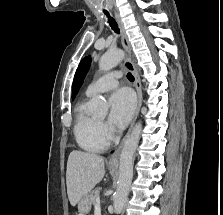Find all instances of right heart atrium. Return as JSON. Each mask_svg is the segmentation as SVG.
<instances>
[{
  "instance_id": "d8ad5b80",
  "label": "right heart atrium",
  "mask_w": 223,
  "mask_h": 215,
  "mask_svg": "<svg viewBox=\"0 0 223 215\" xmlns=\"http://www.w3.org/2000/svg\"><path fill=\"white\" fill-rule=\"evenodd\" d=\"M100 130L103 134L107 135L109 133L108 129L106 128L105 124L100 123L99 124Z\"/></svg>"
}]
</instances>
